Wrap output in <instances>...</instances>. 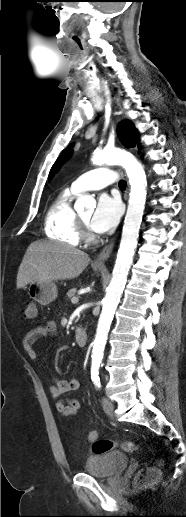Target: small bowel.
<instances>
[{"instance_id": "1", "label": "small bowel", "mask_w": 186, "mask_h": 517, "mask_svg": "<svg viewBox=\"0 0 186 517\" xmlns=\"http://www.w3.org/2000/svg\"><path fill=\"white\" fill-rule=\"evenodd\" d=\"M57 330L56 323L52 320L47 321L43 325H39L30 330L24 339V349L28 356L35 360L37 355L35 351V345L42 339L50 335H55ZM80 388V381L77 378H71L69 380L60 379L56 376L52 377V383L50 384V392L52 397L56 400V409L61 416L67 417L75 415L81 408V403L75 398H62V396L70 391L78 390ZM94 434L95 438L98 437L96 431H90ZM89 432V433H90ZM89 433L87 434V441L89 440Z\"/></svg>"}]
</instances>
